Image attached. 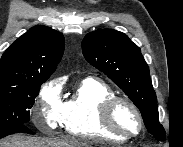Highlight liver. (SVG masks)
<instances>
[{
    "mask_svg": "<svg viewBox=\"0 0 183 147\" xmlns=\"http://www.w3.org/2000/svg\"><path fill=\"white\" fill-rule=\"evenodd\" d=\"M0 147H91V145L75 138L47 139L15 135L2 140Z\"/></svg>",
    "mask_w": 183,
    "mask_h": 147,
    "instance_id": "obj_1",
    "label": "liver"
}]
</instances>
